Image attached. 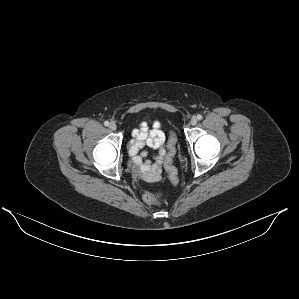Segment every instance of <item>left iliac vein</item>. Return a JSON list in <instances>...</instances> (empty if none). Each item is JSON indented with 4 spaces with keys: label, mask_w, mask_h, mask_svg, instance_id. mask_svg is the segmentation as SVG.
Here are the masks:
<instances>
[{
    "label": "left iliac vein",
    "mask_w": 299,
    "mask_h": 299,
    "mask_svg": "<svg viewBox=\"0 0 299 299\" xmlns=\"http://www.w3.org/2000/svg\"><path fill=\"white\" fill-rule=\"evenodd\" d=\"M197 122H198V119L195 116H193L190 120L191 125H196Z\"/></svg>",
    "instance_id": "left-iliac-vein-1"
}]
</instances>
